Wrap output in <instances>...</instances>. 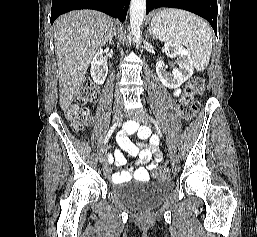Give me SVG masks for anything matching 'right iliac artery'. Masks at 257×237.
Wrapping results in <instances>:
<instances>
[{
	"mask_svg": "<svg viewBox=\"0 0 257 237\" xmlns=\"http://www.w3.org/2000/svg\"><path fill=\"white\" fill-rule=\"evenodd\" d=\"M120 123H121V121L115 123V124L110 128V130L108 131V133H107V135H106V137H105V139H104V143H105V144L109 141V139H110L112 133H113L114 130L116 129L117 125H118V124L120 125Z\"/></svg>",
	"mask_w": 257,
	"mask_h": 237,
	"instance_id": "right-iliac-artery-1",
	"label": "right iliac artery"
}]
</instances>
